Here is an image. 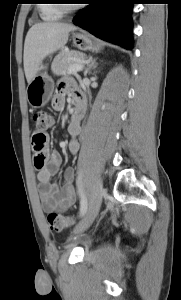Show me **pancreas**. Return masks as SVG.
Listing matches in <instances>:
<instances>
[{
	"mask_svg": "<svg viewBox=\"0 0 181 300\" xmlns=\"http://www.w3.org/2000/svg\"><path fill=\"white\" fill-rule=\"evenodd\" d=\"M84 61L85 54L79 51L62 52L54 58L51 70L57 76L66 75L72 65L83 64Z\"/></svg>",
	"mask_w": 181,
	"mask_h": 300,
	"instance_id": "obj_1",
	"label": "pancreas"
}]
</instances>
